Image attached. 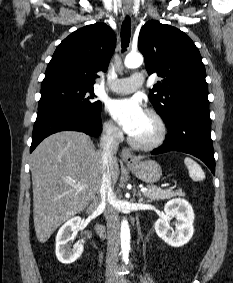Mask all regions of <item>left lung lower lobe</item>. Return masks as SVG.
I'll return each mask as SVG.
<instances>
[{
  "label": "left lung lower lobe",
  "mask_w": 233,
  "mask_h": 283,
  "mask_svg": "<svg viewBox=\"0 0 233 283\" xmlns=\"http://www.w3.org/2000/svg\"><path fill=\"white\" fill-rule=\"evenodd\" d=\"M169 134L151 154L182 151L201 159L215 174L209 110L192 109L166 122Z\"/></svg>",
  "instance_id": "obj_1"
}]
</instances>
